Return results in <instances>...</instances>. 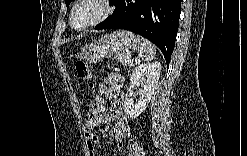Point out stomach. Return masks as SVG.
<instances>
[{
  "label": "stomach",
  "mask_w": 247,
  "mask_h": 156,
  "mask_svg": "<svg viewBox=\"0 0 247 156\" xmlns=\"http://www.w3.org/2000/svg\"><path fill=\"white\" fill-rule=\"evenodd\" d=\"M138 48L139 42L133 33L118 30L86 45L81 51V58L88 64H96L115 52L130 55Z\"/></svg>",
  "instance_id": "0dacf381"
}]
</instances>
